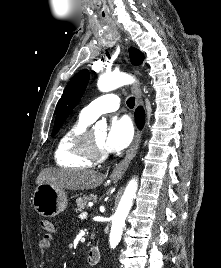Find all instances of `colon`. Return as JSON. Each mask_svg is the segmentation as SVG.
Wrapping results in <instances>:
<instances>
[{"mask_svg":"<svg viewBox=\"0 0 221 268\" xmlns=\"http://www.w3.org/2000/svg\"><path fill=\"white\" fill-rule=\"evenodd\" d=\"M39 224L45 232H51L54 228L53 224L47 219H41Z\"/></svg>","mask_w":221,"mask_h":268,"instance_id":"1","label":"colon"}]
</instances>
